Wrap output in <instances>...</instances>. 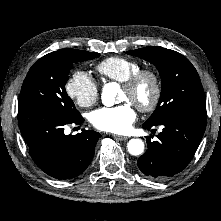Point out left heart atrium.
Masks as SVG:
<instances>
[{
	"label": "left heart atrium",
	"instance_id": "39dd6f15",
	"mask_svg": "<svg viewBox=\"0 0 221 221\" xmlns=\"http://www.w3.org/2000/svg\"><path fill=\"white\" fill-rule=\"evenodd\" d=\"M135 119V110L129 102L114 107L97 109L90 116L94 127L112 133L127 132Z\"/></svg>",
	"mask_w": 221,
	"mask_h": 221
}]
</instances>
